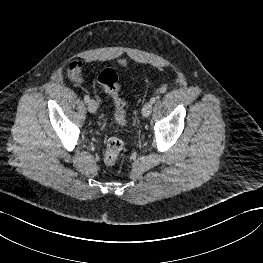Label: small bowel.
Segmentation results:
<instances>
[{"instance_id": "c3829d8e", "label": "small bowel", "mask_w": 263, "mask_h": 263, "mask_svg": "<svg viewBox=\"0 0 263 263\" xmlns=\"http://www.w3.org/2000/svg\"><path fill=\"white\" fill-rule=\"evenodd\" d=\"M69 78L77 85L84 86L82 77V62L72 61L67 68Z\"/></svg>"}]
</instances>
